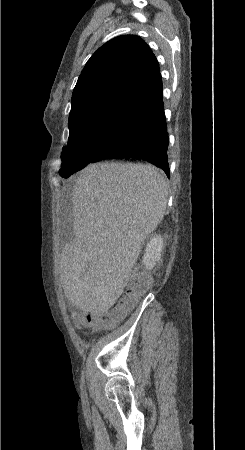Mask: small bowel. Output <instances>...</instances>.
<instances>
[{
    "label": "small bowel",
    "instance_id": "1",
    "mask_svg": "<svg viewBox=\"0 0 245 450\" xmlns=\"http://www.w3.org/2000/svg\"><path fill=\"white\" fill-rule=\"evenodd\" d=\"M72 316L76 326H79L81 324L82 316L77 312H72Z\"/></svg>",
    "mask_w": 245,
    "mask_h": 450
}]
</instances>
